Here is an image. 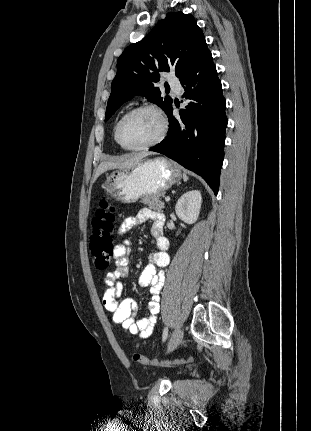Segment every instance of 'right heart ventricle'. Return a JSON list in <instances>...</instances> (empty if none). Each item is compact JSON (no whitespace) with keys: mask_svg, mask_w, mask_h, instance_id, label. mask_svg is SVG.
Instances as JSON below:
<instances>
[{"mask_svg":"<svg viewBox=\"0 0 311 431\" xmlns=\"http://www.w3.org/2000/svg\"><path fill=\"white\" fill-rule=\"evenodd\" d=\"M123 113H124V112H122V114H123ZM122 114H121V115H122ZM121 115H120V116H121ZM120 116H119V117H120ZM114 140L116 141V143H118V141H117V139H116V136H115V133H114ZM118 144H119V143H118Z\"/></svg>","mask_w":311,"mask_h":431,"instance_id":"1","label":"right heart ventricle"}]
</instances>
